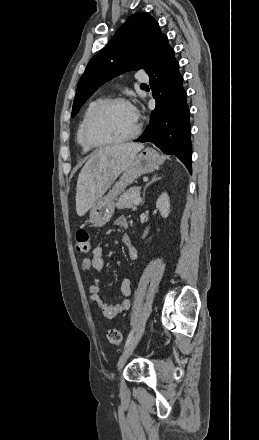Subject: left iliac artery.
<instances>
[{
    "label": "left iliac artery",
    "instance_id": "obj_1",
    "mask_svg": "<svg viewBox=\"0 0 259 440\" xmlns=\"http://www.w3.org/2000/svg\"><path fill=\"white\" fill-rule=\"evenodd\" d=\"M133 334H134V331L132 330V331L129 333L128 337H127V340H126V343H125V347H127L128 344L131 342V340H132V338H133Z\"/></svg>",
    "mask_w": 259,
    "mask_h": 440
}]
</instances>
